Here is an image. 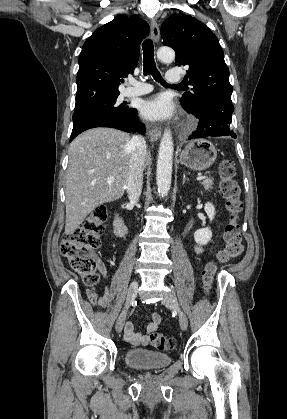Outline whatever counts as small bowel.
Returning <instances> with one entry per match:
<instances>
[{"label": "small bowel", "instance_id": "small-bowel-1", "mask_svg": "<svg viewBox=\"0 0 287 419\" xmlns=\"http://www.w3.org/2000/svg\"><path fill=\"white\" fill-rule=\"evenodd\" d=\"M196 252L201 253L203 248L200 246L196 247ZM102 274L105 275V271L102 269ZM87 298L89 299L90 303L95 306L104 307L107 304L106 296H97L94 292L89 291L87 292ZM161 323V316L159 313H153L151 315V322L147 326V334L142 335L140 333L135 332L134 325L131 321H128L125 324V339L135 346H144L147 345L150 339V336L154 334L159 324Z\"/></svg>", "mask_w": 287, "mask_h": 419}]
</instances>
